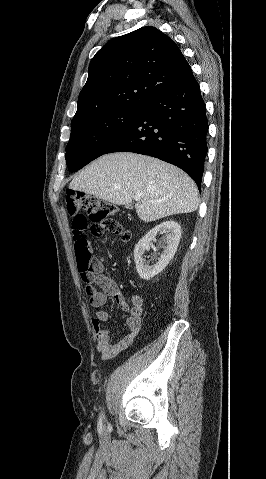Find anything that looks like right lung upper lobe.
Wrapping results in <instances>:
<instances>
[{"label":"right lung upper lobe","instance_id":"obj_1","mask_svg":"<svg viewBox=\"0 0 266 479\" xmlns=\"http://www.w3.org/2000/svg\"><path fill=\"white\" fill-rule=\"evenodd\" d=\"M191 77L177 44L155 27H142L112 39L92 58L73 120L114 109L144 108L161 92Z\"/></svg>","mask_w":266,"mask_h":479}]
</instances>
